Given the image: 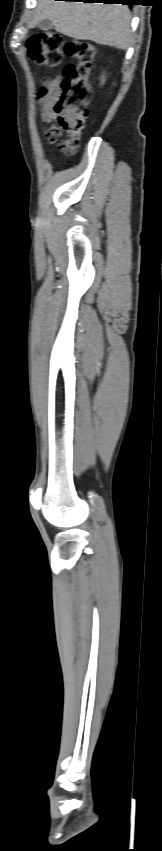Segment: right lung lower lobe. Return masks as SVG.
<instances>
[{"label": "right lung lower lobe", "mask_w": 162, "mask_h": 851, "mask_svg": "<svg viewBox=\"0 0 162 851\" xmlns=\"http://www.w3.org/2000/svg\"><path fill=\"white\" fill-rule=\"evenodd\" d=\"M65 1H83V2H93V3L101 2V3H104V4H118V3H120V4H123V5H132L133 4L132 2H134L136 0H65Z\"/></svg>", "instance_id": "98d812e1"}]
</instances>
